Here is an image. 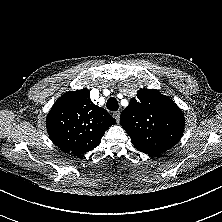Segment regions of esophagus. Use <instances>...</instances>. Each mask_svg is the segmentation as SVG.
I'll list each match as a JSON object with an SVG mask.
<instances>
[{
    "instance_id": "1",
    "label": "esophagus",
    "mask_w": 222,
    "mask_h": 222,
    "mask_svg": "<svg viewBox=\"0 0 222 222\" xmlns=\"http://www.w3.org/2000/svg\"><path fill=\"white\" fill-rule=\"evenodd\" d=\"M113 117L115 118V120L117 122H119V118H120V111H116L113 113Z\"/></svg>"
}]
</instances>
